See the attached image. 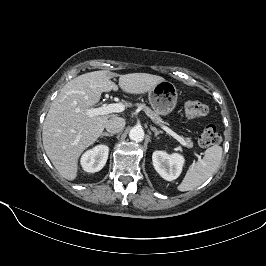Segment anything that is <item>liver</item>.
Segmentation results:
<instances>
[{
	"label": "liver",
	"mask_w": 266,
	"mask_h": 266,
	"mask_svg": "<svg viewBox=\"0 0 266 266\" xmlns=\"http://www.w3.org/2000/svg\"><path fill=\"white\" fill-rule=\"evenodd\" d=\"M115 76L106 70L82 74L66 83L51 104L43 124V146L54 167L67 180L77 177L80 155L95 143L112 117H89L86 110L99 102L103 92L117 91L111 81ZM164 80L157 75L131 73L119 76V86L127 93L143 94Z\"/></svg>",
	"instance_id": "liver-1"
}]
</instances>
